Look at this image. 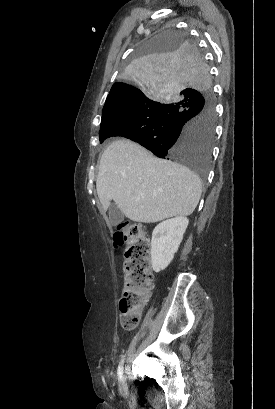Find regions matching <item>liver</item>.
<instances>
[{
	"label": "liver",
	"mask_w": 275,
	"mask_h": 409,
	"mask_svg": "<svg viewBox=\"0 0 275 409\" xmlns=\"http://www.w3.org/2000/svg\"><path fill=\"white\" fill-rule=\"evenodd\" d=\"M96 190L104 211L114 200L130 221L158 223L192 215L202 182L188 166L156 158L137 142L118 138L101 156Z\"/></svg>",
	"instance_id": "obj_1"
}]
</instances>
